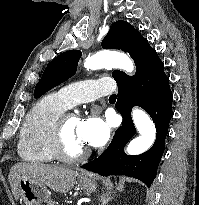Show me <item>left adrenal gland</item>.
I'll list each match as a JSON object with an SVG mask.
<instances>
[{
    "label": "left adrenal gland",
    "instance_id": "1",
    "mask_svg": "<svg viewBox=\"0 0 199 205\" xmlns=\"http://www.w3.org/2000/svg\"><path fill=\"white\" fill-rule=\"evenodd\" d=\"M113 197H108V196H103L101 197V205H106L108 203L109 200H111Z\"/></svg>",
    "mask_w": 199,
    "mask_h": 205
}]
</instances>
